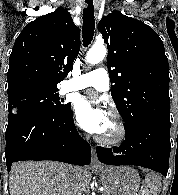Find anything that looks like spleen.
I'll return each mask as SVG.
<instances>
[{"instance_id": "3e777b00", "label": "spleen", "mask_w": 178, "mask_h": 195, "mask_svg": "<svg viewBox=\"0 0 178 195\" xmlns=\"http://www.w3.org/2000/svg\"><path fill=\"white\" fill-rule=\"evenodd\" d=\"M146 184L154 195L160 191L161 189V180L159 175L156 174H148L145 178Z\"/></svg>"}]
</instances>
